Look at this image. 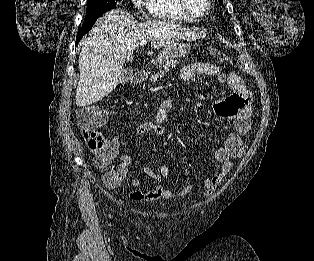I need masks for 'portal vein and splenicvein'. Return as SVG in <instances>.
Masks as SVG:
<instances>
[{"instance_id":"obj_1","label":"portal vein and splenic vein","mask_w":314,"mask_h":261,"mask_svg":"<svg viewBox=\"0 0 314 261\" xmlns=\"http://www.w3.org/2000/svg\"><path fill=\"white\" fill-rule=\"evenodd\" d=\"M146 43H147V41L143 40V41H141L140 46H144V45H146Z\"/></svg>"}]
</instances>
